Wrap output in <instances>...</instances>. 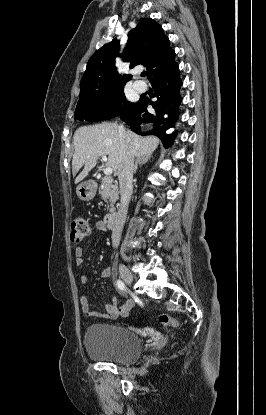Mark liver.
Listing matches in <instances>:
<instances>
[{
  "label": "liver",
  "mask_w": 266,
  "mask_h": 415,
  "mask_svg": "<svg viewBox=\"0 0 266 415\" xmlns=\"http://www.w3.org/2000/svg\"><path fill=\"white\" fill-rule=\"evenodd\" d=\"M118 125L106 122L92 126H82L73 137L75 152L72 159V172L75 175L84 165L83 171L76 177L75 184L82 181L95 167L99 157L108 156L107 165L118 171L122 148ZM129 139V148L135 157L152 154L158 147L157 137H142L130 130L125 131Z\"/></svg>",
  "instance_id": "1"
}]
</instances>
